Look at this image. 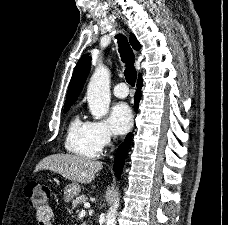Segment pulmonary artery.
Returning a JSON list of instances; mask_svg holds the SVG:
<instances>
[{"label": "pulmonary artery", "instance_id": "obj_1", "mask_svg": "<svg viewBox=\"0 0 228 225\" xmlns=\"http://www.w3.org/2000/svg\"><path fill=\"white\" fill-rule=\"evenodd\" d=\"M113 93L118 98H126L129 94V89L125 83L121 82L114 87Z\"/></svg>", "mask_w": 228, "mask_h": 225}]
</instances>
